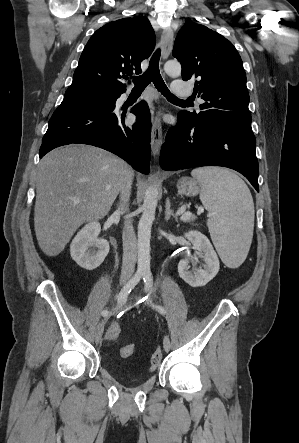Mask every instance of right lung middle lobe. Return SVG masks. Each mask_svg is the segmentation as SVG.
I'll return each mask as SVG.
<instances>
[{
  "label": "right lung middle lobe",
  "instance_id": "obj_1",
  "mask_svg": "<svg viewBox=\"0 0 299 443\" xmlns=\"http://www.w3.org/2000/svg\"><path fill=\"white\" fill-rule=\"evenodd\" d=\"M118 94L92 88L69 87L63 101L97 104L104 107L115 106Z\"/></svg>",
  "mask_w": 299,
  "mask_h": 443
}]
</instances>
